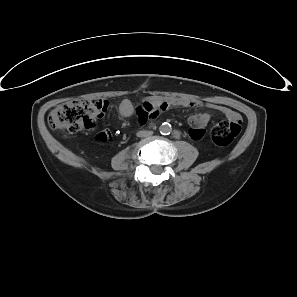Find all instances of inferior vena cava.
<instances>
[{
  "label": "inferior vena cava",
  "instance_id": "602c4592",
  "mask_svg": "<svg viewBox=\"0 0 297 297\" xmlns=\"http://www.w3.org/2000/svg\"><path fill=\"white\" fill-rule=\"evenodd\" d=\"M152 134H153L152 131L142 130V131L137 132L136 135H137L138 137H147V136H150V135H152Z\"/></svg>",
  "mask_w": 297,
  "mask_h": 297
}]
</instances>
